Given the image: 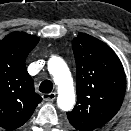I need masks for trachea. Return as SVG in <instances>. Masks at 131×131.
Masks as SVG:
<instances>
[{"instance_id":"1","label":"trachea","mask_w":131,"mask_h":131,"mask_svg":"<svg viewBox=\"0 0 131 131\" xmlns=\"http://www.w3.org/2000/svg\"><path fill=\"white\" fill-rule=\"evenodd\" d=\"M53 89V83L50 80L43 81L39 86V91L42 93H50Z\"/></svg>"}]
</instances>
